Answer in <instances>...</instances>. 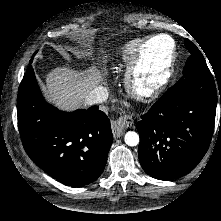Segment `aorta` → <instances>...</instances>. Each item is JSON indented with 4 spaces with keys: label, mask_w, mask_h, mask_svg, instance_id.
I'll list each match as a JSON object with an SVG mask.
<instances>
[{
    "label": "aorta",
    "mask_w": 221,
    "mask_h": 221,
    "mask_svg": "<svg viewBox=\"0 0 221 221\" xmlns=\"http://www.w3.org/2000/svg\"><path fill=\"white\" fill-rule=\"evenodd\" d=\"M139 140V135L134 131H128L124 136V141L128 146L138 145Z\"/></svg>",
    "instance_id": "762f6f07"
}]
</instances>
